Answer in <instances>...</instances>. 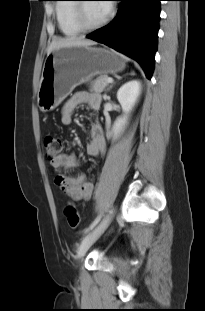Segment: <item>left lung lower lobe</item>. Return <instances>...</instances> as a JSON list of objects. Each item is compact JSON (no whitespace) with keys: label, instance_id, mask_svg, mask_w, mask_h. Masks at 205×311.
<instances>
[{"label":"left lung lower lobe","instance_id":"1","mask_svg":"<svg viewBox=\"0 0 205 311\" xmlns=\"http://www.w3.org/2000/svg\"><path fill=\"white\" fill-rule=\"evenodd\" d=\"M123 1L117 16L87 38L120 51L140 63L148 79L154 69L161 0Z\"/></svg>","mask_w":205,"mask_h":311}]
</instances>
